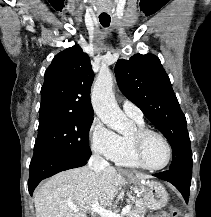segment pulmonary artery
Returning <instances> with one entry per match:
<instances>
[{
  "label": "pulmonary artery",
  "mask_w": 211,
  "mask_h": 217,
  "mask_svg": "<svg viewBox=\"0 0 211 217\" xmlns=\"http://www.w3.org/2000/svg\"><path fill=\"white\" fill-rule=\"evenodd\" d=\"M122 109L125 112V114L130 118L143 120V113L141 109L130 100L127 99L123 100Z\"/></svg>",
  "instance_id": "pulmonary-artery-1"
}]
</instances>
